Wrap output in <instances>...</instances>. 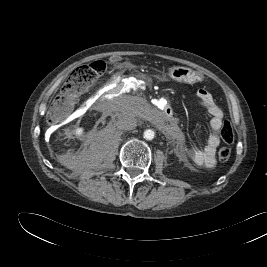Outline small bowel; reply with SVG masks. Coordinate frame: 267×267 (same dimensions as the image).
Instances as JSON below:
<instances>
[{"instance_id": "obj_1", "label": "small bowel", "mask_w": 267, "mask_h": 267, "mask_svg": "<svg viewBox=\"0 0 267 267\" xmlns=\"http://www.w3.org/2000/svg\"><path fill=\"white\" fill-rule=\"evenodd\" d=\"M196 101L198 105L205 109L211 116L210 128L212 133L209 135L203 149L191 146L189 149L182 152V157L187 159L190 164L196 168L211 169L215 165V154L220 145L218 131L222 127L224 113L215 102L212 94L204 88H200L196 91Z\"/></svg>"}]
</instances>
